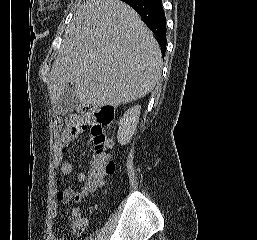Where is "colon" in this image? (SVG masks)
Here are the masks:
<instances>
[{
  "instance_id": "5ec220e1",
  "label": "colon",
  "mask_w": 257,
  "mask_h": 240,
  "mask_svg": "<svg viewBox=\"0 0 257 240\" xmlns=\"http://www.w3.org/2000/svg\"><path fill=\"white\" fill-rule=\"evenodd\" d=\"M114 120V111L111 107L103 106L88 111V124L94 138V156L87 182L82 193L75 195L79 199L82 194L92 193L104 182L106 176L112 175L115 171V162L108 150V137L104 128L109 127ZM85 227V220L75 216L74 229L82 231Z\"/></svg>"
}]
</instances>
